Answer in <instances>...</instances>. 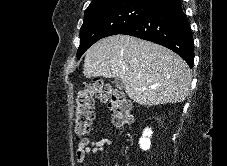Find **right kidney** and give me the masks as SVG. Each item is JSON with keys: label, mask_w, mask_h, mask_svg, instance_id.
I'll use <instances>...</instances> for the list:
<instances>
[{"label": "right kidney", "mask_w": 227, "mask_h": 166, "mask_svg": "<svg viewBox=\"0 0 227 166\" xmlns=\"http://www.w3.org/2000/svg\"><path fill=\"white\" fill-rule=\"evenodd\" d=\"M153 134L151 128H146L143 131L142 137L139 140L140 148L142 150H148L151 146L150 137Z\"/></svg>", "instance_id": "ca27d5eb"}]
</instances>
